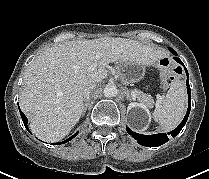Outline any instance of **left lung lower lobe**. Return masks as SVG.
<instances>
[{"label": "left lung lower lobe", "instance_id": "0a47b994", "mask_svg": "<svg viewBox=\"0 0 209 179\" xmlns=\"http://www.w3.org/2000/svg\"><path fill=\"white\" fill-rule=\"evenodd\" d=\"M169 49L174 55L177 56V53L172 48H169ZM174 59L178 63L183 65V67L186 71V75H187V82H186L187 91H188L187 113H186L183 121L180 123V125L176 129H174L173 131H171L167 134L160 133V134H154V135H142V134L135 133L132 130H130L129 128H127L128 134H130L140 145L149 146V147H157V146H160V145L166 143L169 140L170 136L175 137L181 131V129L183 128V126L185 125V123L188 119L190 109H191V97H190L191 91H190V86H189V76H188L187 69L184 66V64L182 63V61L178 57H174Z\"/></svg>", "mask_w": 209, "mask_h": 179}]
</instances>
